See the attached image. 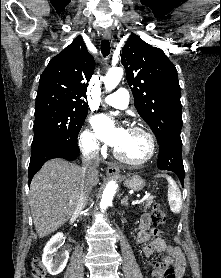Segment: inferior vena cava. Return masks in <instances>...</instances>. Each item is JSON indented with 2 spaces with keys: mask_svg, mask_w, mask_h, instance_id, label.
<instances>
[{
  "mask_svg": "<svg viewBox=\"0 0 221 278\" xmlns=\"http://www.w3.org/2000/svg\"><path fill=\"white\" fill-rule=\"evenodd\" d=\"M99 154L98 151L88 152L83 155V172H84V183L82 185L81 193L77 203L76 211H82L89 200V195L92 189V179L98 175L99 167Z\"/></svg>",
  "mask_w": 221,
  "mask_h": 278,
  "instance_id": "1",
  "label": "inferior vena cava"
}]
</instances>
